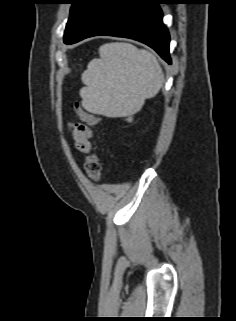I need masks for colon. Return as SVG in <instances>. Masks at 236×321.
<instances>
[{
  "label": "colon",
  "instance_id": "obj_1",
  "mask_svg": "<svg viewBox=\"0 0 236 321\" xmlns=\"http://www.w3.org/2000/svg\"><path fill=\"white\" fill-rule=\"evenodd\" d=\"M76 113L79 116V118L86 122L89 125H97L100 122V117L87 112L80 107L76 106L75 107ZM85 172L87 176L92 180V181H99L101 178V164H100V159L98 152L94 150L89 157L87 158L85 162Z\"/></svg>",
  "mask_w": 236,
  "mask_h": 321
}]
</instances>
